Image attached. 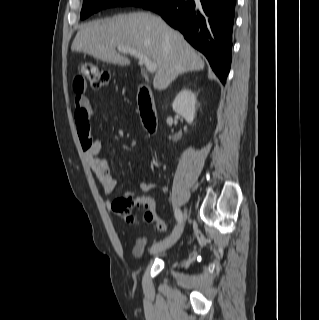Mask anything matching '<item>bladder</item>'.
<instances>
[{"mask_svg": "<svg viewBox=\"0 0 319 320\" xmlns=\"http://www.w3.org/2000/svg\"><path fill=\"white\" fill-rule=\"evenodd\" d=\"M146 248V241L144 238H138L133 246V254L137 259H142L144 256V250Z\"/></svg>", "mask_w": 319, "mask_h": 320, "instance_id": "bladder-1", "label": "bladder"}]
</instances>
